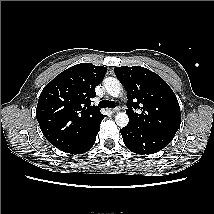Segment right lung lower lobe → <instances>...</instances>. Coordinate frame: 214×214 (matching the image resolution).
Here are the masks:
<instances>
[{"instance_id":"right-lung-lower-lobe-1","label":"right lung lower lobe","mask_w":214,"mask_h":214,"mask_svg":"<svg viewBox=\"0 0 214 214\" xmlns=\"http://www.w3.org/2000/svg\"><path fill=\"white\" fill-rule=\"evenodd\" d=\"M100 123L101 121L94 128H92L77 144L65 150L64 152L70 154H83L90 150L94 145L96 136L100 130Z\"/></svg>"}]
</instances>
